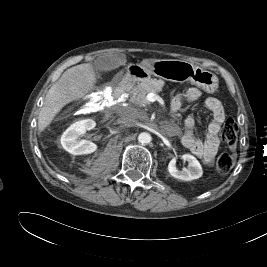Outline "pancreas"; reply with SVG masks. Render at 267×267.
Listing matches in <instances>:
<instances>
[{"label":"pancreas","mask_w":267,"mask_h":267,"mask_svg":"<svg viewBox=\"0 0 267 267\" xmlns=\"http://www.w3.org/2000/svg\"><path fill=\"white\" fill-rule=\"evenodd\" d=\"M164 86L163 80L157 79H148L143 81L142 83L136 85L131 93V101L135 104H147L148 101L146 100L147 94L153 92L155 94L159 93Z\"/></svg>","instance_id":"cf45deb5"}]
</instances>
